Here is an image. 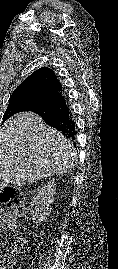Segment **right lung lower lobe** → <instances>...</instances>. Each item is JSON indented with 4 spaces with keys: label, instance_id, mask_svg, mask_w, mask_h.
<instances>
[{
    "label": "right lung lower lobe",
    "instance_id": "98d812e1",
    "mask_svg": "<svg viewBox=\"0 0 118 269\" xmlns=\"http://www.w3.org/2000/svg\"><path fill=\"white\" fill-rule=\"evenodd\" d=\"M24 111H32L51 127L56 128L66 137L75 140L76 126L75 121L62 91L49 96L48 98L33 104Z\"/></svg>",
    "mask_w": 118,
    "mask_h": 269
}]
</instances>
